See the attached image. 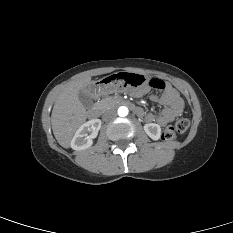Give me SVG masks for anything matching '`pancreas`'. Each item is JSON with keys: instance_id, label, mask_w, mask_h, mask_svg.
I'll use <instances>...</instances> for the list:
<instances>
[{"instance_id": "obj_1", "label": "pancreas", "mask_w": 233, "mask_h": 233, "mask_svg": "<svg viewBox=\"0 0 233 233\" xmlns=\"http://www.w3.org/2000/svg\"><path fill=\"white\" fill-rule=\"evenodd\" d=\"M115 105V99L112 97H106L100 101L97 102V106H99L102 109H108Z\"/></svg>"}]
</instances>
